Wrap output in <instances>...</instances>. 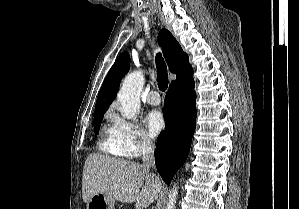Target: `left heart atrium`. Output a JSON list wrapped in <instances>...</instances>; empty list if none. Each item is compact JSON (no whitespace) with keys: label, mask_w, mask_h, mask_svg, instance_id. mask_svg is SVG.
Returning <instances> with one entry per match:
<instances>
[{"label":"left heart atrium","mask_w":299,"mask_h":209,"mask_svg":"<svg viewBox=\"0 0 299 209\" xmlns=\"http://www.w3.org/2000/svg\"><path fill=\"white\" fill-rule=\"evenodd\" d=\"M165 118L161 111L153 110L146 117V125L151 137H156L165 127Z\"/></svg>","instance_id":"obj_1"}]
</instances>
